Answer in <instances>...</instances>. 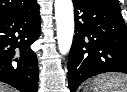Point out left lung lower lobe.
<instances>
[{
  "label": "left lung lower lobe",
  "mask_w": 127,
  "mask_h": 92,
  "mask_svg": "<svg viewBox=\"0 0 127 92\" xmlns=\"http://www.w3.org/2000/svg\"><path fill=\"white\" fill-rule=\"evenodd\" d=\"M73 3L75 35L68 60L70 92H75L92 76L127 73V27L121 11L81 0H73Z\"/></svg>",
  "instance_id": "0a47b994"
}]
</instances>
